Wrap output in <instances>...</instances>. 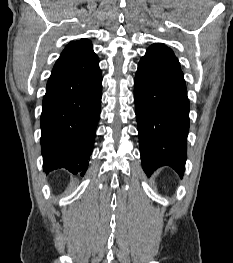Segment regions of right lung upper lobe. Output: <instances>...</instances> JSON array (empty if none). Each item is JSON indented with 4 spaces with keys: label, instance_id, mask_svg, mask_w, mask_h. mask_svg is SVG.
<instances>
[{
    "label": "right lung upper lobe",
    "instance_id": "obj_1",
    "mask_svg": "<svg viewBox=\"0 0 233 263\" xmlns=\"http://www.w3.org/2000/svg\"><path fill=\"white\" fill-rule=\"evenodd\" d=\"M98 61L89 40L71 41L56 61L52 74H80L87 72Z\"/></svg>",
    "mask_w": 233,
    "mask_h": 263
}]
</instances>
